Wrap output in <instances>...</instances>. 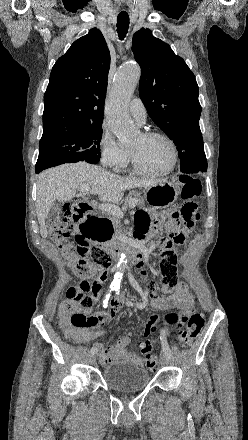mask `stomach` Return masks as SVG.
Wrapping results in <instances>:
<instances>
[{
  "instance_id": "obj_1",
  "label": "stomach",
  "mask_w": 248,
  "mask_h": 440,
  "mask_svg": "<svg viewBox=\"0 0 248 440\" xmlns=\"http://www.w3.org/2000/svg\"><path fill=\"white\" fill-rule=\"evenodd\" d=\"M178 189L170 182H160L145 188L144 198L153 208L162 209L172 205L178 198ZM107 209H96L89 220L91 228L81 225L76 229L75 241H99L100 246H113L114 218H107Z\"/></svg>"
}]
</instances>
